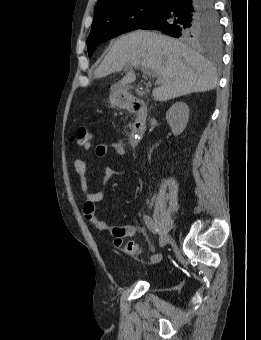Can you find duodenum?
Segmentation results:
<instances>
[{"mask_svg": "<svg viewBox=\"0 0 261 340\" xmlns=\"http://www.w3.org/2000/svg\"><path fill=\"white\" fill-rule=\"evenodd\" d=\"M128 110L134 113L135 119L130 128L129 143L135 146L139 143L146 128V109L144 103L139 99H133L128 104Z\"/></svg>", "mask_w": 261, "mask_h": 340, "instance_id": "1", "label": "duodenum"}]
</instances>
